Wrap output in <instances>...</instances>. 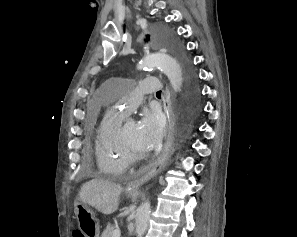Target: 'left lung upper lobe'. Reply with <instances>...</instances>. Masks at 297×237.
<instances>
[{
    "label": "left lung upper lobe",
    "instance_id": "5c2ea615",
    "mask_svg": "<svg viewBox=\"0 0 297 237\" xmlns=\"http://www.w3.org/2000/svg\"><path fill=\"white\" fill-rule=\"evenodd\" d=\"M156 34L157 39L170 44L173 49L176 50L179 54L183 53V49L178 45L174 36L170 32L158 29ZM185 75L187 84V95L189 98H192L196 102L198 97V86L195 73L193 72L189 63L185 64Z\"/></svg>",
    "mask_w": 297,
    "mask_h": 237
}]
</instances>
